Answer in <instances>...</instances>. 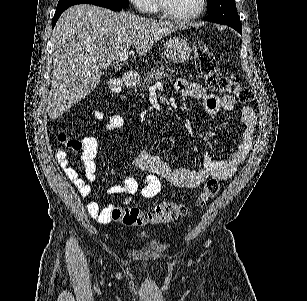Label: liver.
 <instances>
[{
	"instance_id": "obj_1",
	"label": "liver",
	"mask_w": 307,
	"mask_h": 301,
	"mask_svg": "<svg viewBox=\"0 0 307 301\" xmlns=\"http://www.w3.org/2000/svg\"><path fill=\"white\" fill-rule=\"evenodd\" d=\"M187 28L173 20H154L126 10L113 12L94 4H75L58 18L52 30L53 70L48 92L49 118H58L100 82L119 54L136 48L146 54L153 44Z\"/></svg>"
}]
</instances>
